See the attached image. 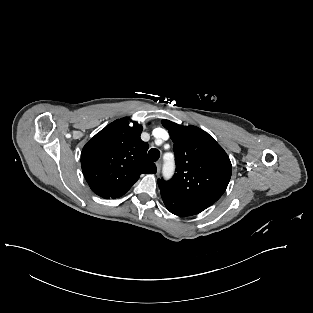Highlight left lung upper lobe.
<instances>
[{
  "instance_id": "1",
  "label": "left lung upper lobe",
  "mask_w": 313,
  "mask_h": 313,
  "mask_svg": "<svg viewBox=\"0 0 313 313\" xmlns=\"http://www.w3.org/2000/svg\"><path fill=\"white\" fill-rule=\"evenodd\" d=\"M174 142L176 173L170 181L158 179L161 193L182 203L206 209L225 192L232 173L230 159L205 131L162 120Z\"/></svg>"
}]
</instances>
